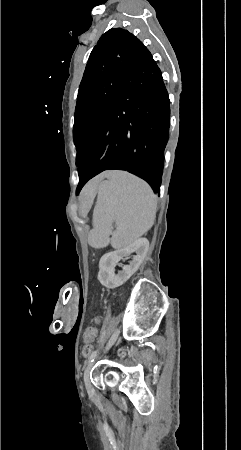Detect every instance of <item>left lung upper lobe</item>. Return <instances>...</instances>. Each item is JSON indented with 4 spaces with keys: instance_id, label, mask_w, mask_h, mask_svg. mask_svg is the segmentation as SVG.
<instances>
[{
    "instance_id": "left-lung-upper-lobe-1",
    "label": "left lung upper lobe",
    "mask_w": 241,
    "mask_h": 450,
    "mask_svg": "<svg viewBox=\"0 0 241 450\" xmlns=\"http://www.w3.org/2000/svg\"><path fill=\"white\" fill-rule=\"evenodd\" d=\"M137 42L139 40L127 30L116 28L104 33L93 48L79 86L75 109L76 163L95 126L118 101Z\"/></svg>"
}]
</instances>
